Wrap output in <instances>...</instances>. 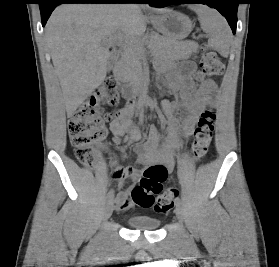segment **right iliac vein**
<instances>
[{
    "instance_id": "63e3f726",
    "label": "right iliac vein",
    "mask_w": 279,
    "mask_h": 267,
    "mask_svg": "<svg viewBox=\"0 0 279 267\" xmlns=\"http://www.w3.org/2000/svg\"><path fill=\"white\" fill-rule=\"evenodd\" d=\"M113 210H114L113 201H108L105 212H104V216H103L104 220H107L110 218V216L113 213Z\"/></svg>"
}]
</instances>
